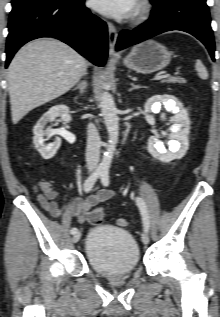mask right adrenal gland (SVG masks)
Wrapping results in <instances>:
<instances>
[{
  "label": "right adrenal gland",
  "mask_w": 220,
  "mask_h": 317,
  "mask_svg": "<svg viewBox=\"0 0 220 317\" xmlns=\"http://www.w3.org/2000/svg\"><path fill=\"white\" fill-rule=\"evenodd\" d=\"M87 87V81H81L73 90L79 89L80 93L83 94Z\"/></svg>",
  "instance_id": "2a0ac1e0"
}]
</instances>
